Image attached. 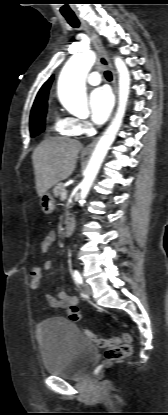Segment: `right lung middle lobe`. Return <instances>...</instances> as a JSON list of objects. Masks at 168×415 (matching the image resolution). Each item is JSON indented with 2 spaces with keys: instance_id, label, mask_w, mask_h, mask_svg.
<instances>
[{
  "instance_id": "1",
  "label": "right lung middle lobe",
  "mask_w": 168,
  "mask_h": 415,
  "mask_svg": "<svg viewBox=\"0 0 168 415\" xmlns=\"http://www.w3.org/2000/svg\"><path fill=\"white\" fill-rule=\"evenodd\" d=\"M46 111L47 106L31 111L30 133L32 137L44 131Z\"/></svg>"
}]
</instances>
